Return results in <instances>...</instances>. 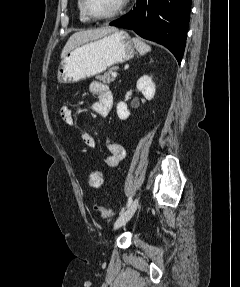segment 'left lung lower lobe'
Wrapping results in <instances>:
<instances>
[{
	"instance_id": "left-lung-lower-lobe-1",
	"label": "left lung lower lobe",
	"mask_w": 240,
	"mask_h": 287,
	"mask_svg": "<svg viewBox=\"0 0 240 287\" xmlns=\"http://www.w3.org/2000/svg\"><path fill=\"white\" fill-rule=\"evenodd\" d=\"M191 0H137L125 16L109 23L167 47L180 64L186 44Z\"/></svg>"
}]
</instances>
